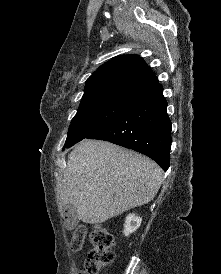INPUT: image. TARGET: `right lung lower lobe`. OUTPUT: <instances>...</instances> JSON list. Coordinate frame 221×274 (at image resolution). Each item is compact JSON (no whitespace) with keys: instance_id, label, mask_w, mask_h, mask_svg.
<instances>
[{"instance_id":"1","label":"right lung lower lobe","mask_w":221,"mask_h":274,"mask_svg":"<svg viewBox=\"0 0 221 274\" xmlns=\"http://www.w3.org/2000/svg\"><path fill=\"white\" fill-rule=\"evenodd\" d=\"M163 88L157 85L133 100L109 123L90 135L147 155L166 171L170 165L171 121Z\"/></svg>"}]
</instances>
